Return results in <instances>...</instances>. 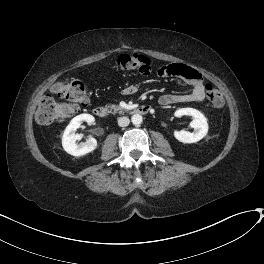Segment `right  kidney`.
<instances>
[{"instance_id":"right-kidney-1","label":"right kidney","mask_w":264,"mask_h":264,"mask_svg":"<svg viewBox=\"0 0 264 264\" xmlns=\"http://www.w3.org/2000/svg\"><path fill=\"white\" fill-rule=\"evenodd\" d=\"M84 121L92 123L95 119L90 114H80L74 117L66 127L62 137V146L64 150L73 156L86 155L95 150L97 147V141L93 137H89L85 143H81L79 145L76 143V141L81 139V136L79 134H75V131Z\"/></svg>"}]
</instances>
